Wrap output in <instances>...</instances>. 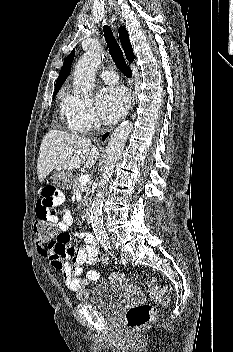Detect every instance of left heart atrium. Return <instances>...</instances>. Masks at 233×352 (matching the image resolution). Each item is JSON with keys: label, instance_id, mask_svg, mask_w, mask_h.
Here are the masks:
<instances>
[{"label": "left heart atrium", "instance_id": "1", "mask_svg": "<svg viewBox=\"0 0 233 352\" xmlns=\"http://www.w3.org/2000/svg\"><path fill=\"white\" fill-rule=\"evenodd\" d=\"M96 104L103 121L113 123L126 112L129 97L121 87H107L98 93Z\"/></svg>", "mask_w": 233, "mask_h": 352}]
</instances>
